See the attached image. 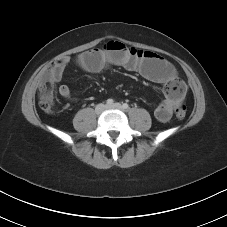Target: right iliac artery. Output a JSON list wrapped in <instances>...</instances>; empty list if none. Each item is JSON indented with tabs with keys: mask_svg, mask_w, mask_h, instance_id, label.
<instances>
[{
	"mask_svg": "<svg viewBox=\"0 0 227 227\" xmlns=\"http://www.w3.org/2000/svg\"><path fill=\"white\" fill-rule=\"evenodd\" d=\"M106 103H107V105H112V104H114V101H113V99H108L106 101Z\"/></svg>",
	"mask_w": 227,
	"mask_h": 227,
	"instance_id": "1",
	"label": "right iliac artery"
}]
</instances>
